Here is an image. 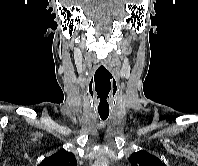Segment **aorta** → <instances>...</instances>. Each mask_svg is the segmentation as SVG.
<instances>
[{
	"label": "aorta",
	"mask_w": 198,
	"mask_h": 166,
	"mask_svg": "<svg viewBox=\"0 0 198 166\" xmlns=\"http://www.w3.org/2000/svg\"><path fill=\"white\" fill-rule=\"evenodd\" d=\"M93 166H108V162L104 159L97 160Z\"/></svg>",
	"instance_id": "obj_1"
}]
</instances>
